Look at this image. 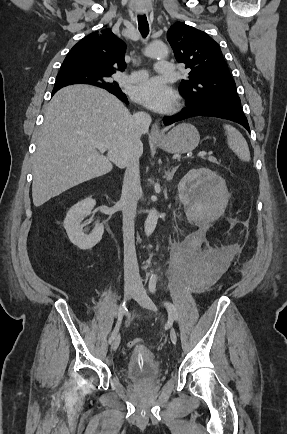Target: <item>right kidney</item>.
I'll return each mask as SVG.
<instances>
[{"label": "right kidney", "mask_w": 287, "mask_h": 434, "mask_svg": "<svg viewBox=\"0 0 287 434\" xmlns=\"http://www.w3.org/2000/svg\"><path fill=\"white\" fill-rule=\"evenodd\" d=\"M96 201L92 198L84 199L70 208L63 226L68 234L69 240L79 249L88 250L93 248L102 239L104 227L98 222L90 234H85L81 224L83 219L91 214Z\"/></svg>", "instance_id": "1"}]
</instances>
